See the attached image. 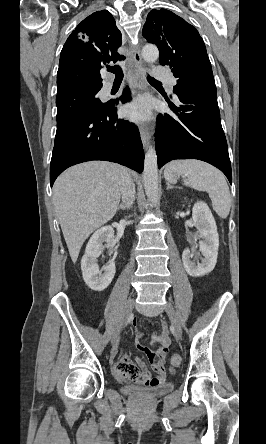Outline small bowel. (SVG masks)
I'll list each match as a JSON object with an SVG mask.
<instances>
[{
  "instance_id": "small-bowel-1",
  "label": "small bowel",
  "mask_w": 266,
  "mask_h": 444,
  "mask_svg": "<svg viewBox=\"0 0 266 444\" xmlns=\"http://www.w3.org/2000/svg\"><path fill=\"white\" fill-rule=\"evenodd\" d=\"M153 341L159 346L155 351L145 347L141 343V333H137L135 336L137 349L143 352L151 362L156 376H150L145 363L140 358H137L136 364H133L128 355H123L122 358L112 366L113 374L117 380L120 382H133L145 387H153L166 382L165 361L171 341L166 324L162 325V331L159 334L153 335ZM118 343L119 341H116L115 350L117 349Z\"/></svg>"
}]
</instances>
